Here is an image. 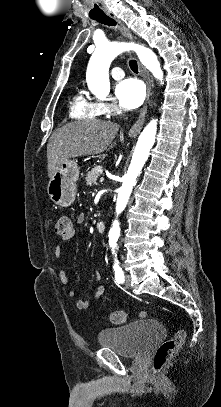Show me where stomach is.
Masks as SVG:
<instances>
[{
	"instance_id": "obj_1",
	"label": "stomach",
	"mask_w": 221,
	"mask_h": 407,
	"mask_svg": "<svg viewBox=\"0 0 221 407\" xmlns=\"http://www.w3.org/2000/svg\"><path fill=\"white\" fill-rule=\"evenodd\" d=\"M79 167L74 160H66L50 178L47 192L50 199L61 207L70 206L76 196Z\"/></svg>"
}]
</instances>
